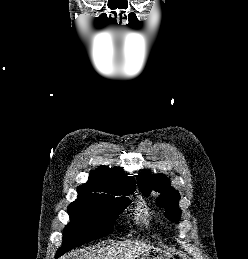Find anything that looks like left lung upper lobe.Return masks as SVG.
Wrapping results in <instances>:
<instances>
[{"mask_svg":"<svg viewBox=\"0 0 248 259\" xmlns=\"http://www.w3.org/2000/svg\"><path fill=\"white\" fill-rule=\"evenodd\" d=\"M137 182L140 191L145 196H149L152 190L161 193L156 199L157 204L166 210L165 215L169 219L178 223L181 213V210L178 208L180 195L177 190L170 186L169 180L163 174L153 175L148 171H143L138 173Z\"/></svg>","mask_w":248,"mask_h":259,"instance_id":"1","label":"left lung upper lobe"}]
</instances>
